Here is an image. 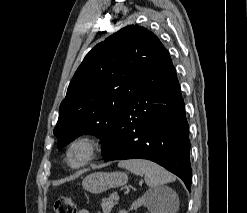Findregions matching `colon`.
<instances>
[{
  "label": "colon",
  "instance_id": "1",
  "mask_svg": "<svg viewBox=\"0 0 247 213\" xmlns=\"http://www.w3.org/2000/svg\"><path fill=\"white\" fill-rule=\"evenodd\" d=\"M75 201L72 197H61L54 205V213H75Z\"/></svg>",
  "mask_w": 247,
  "mask_h": 213
}]
</instances>
